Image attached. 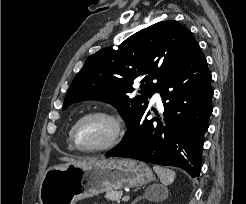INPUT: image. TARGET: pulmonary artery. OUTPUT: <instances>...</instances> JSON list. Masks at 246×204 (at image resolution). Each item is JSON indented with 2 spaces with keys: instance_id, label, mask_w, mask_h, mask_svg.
<instances>
[{
  "instance_id": "e3ab8cb5",
  "label": "pulmonary artery",
  "mask_w": 246,
  "mask_h": 204,
  "mask_svg": "<svg viewBox=\"0 0 246 204\" xmlns=\"http://www.w3.org/2000/svg\"><path fill=\"white\" fill-rule=\"evenodd\" d=\"M152 101L156 103L161 102V96L158 92H155L154 95L152 96Z\"/></svg>"
}]
</instances>
